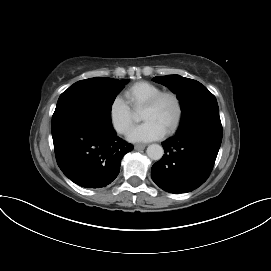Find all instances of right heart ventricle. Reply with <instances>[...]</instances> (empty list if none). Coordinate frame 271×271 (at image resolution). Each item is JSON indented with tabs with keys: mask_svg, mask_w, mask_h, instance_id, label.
Wrapping results in <instances>:
<instances>
[{
	"mask_svg": "<svg viewBox=\"0 0 271 271\" xmlns=\"http://www.w3.org/2000/svg\"><path fill=\"white\" fill-rule=\"evenodd\" d=\"M162 91L159 86L148 81H139L124 92L126 103L134 110L142 108L144 103L156 93Z\"/></svg>",
	"mask_w": 271,
	"mask_h": 271,
	"instance_id": "obj_1",
	"label": "right heart ventricle"
}]
</instances>
